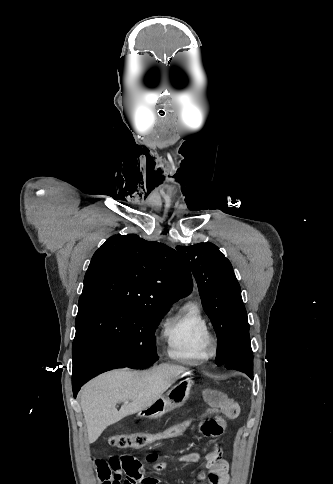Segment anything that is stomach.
<instances>
[{"label": "stomach", "instance_id": "obj_1", "mask_svg": "<svg viewBox=\"0 0 333 484\" xmlns=\"http://www.w3.org/2000/svg\"><path fill=\"white\" fill-rule=\"evenodd\" d=\"M191 379H185L172 387L166 395L158 399L152 406L145 409L147 415L157 416L164 414L175 407L182 406L189 398L190 389L192 386Z\"/></svg>", "mask_w": 333, "mask_h": 484}]
</instances>
